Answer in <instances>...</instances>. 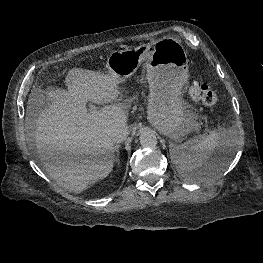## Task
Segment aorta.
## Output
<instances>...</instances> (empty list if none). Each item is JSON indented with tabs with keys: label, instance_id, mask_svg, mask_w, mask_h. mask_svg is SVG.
I'll use <instances>...</instances> for the list:
<instances>
[{
	"label": "aorta",
	"instance_id": "aorta-1",
	"mask_svg": "<svg viewBox=\"0 0 263 263\" xmlns=\"http://www.w3.org/2000/svg\"><path fill=\"white\" fill-rule=\"evenodd\" d=\"M140 144L145 148H153L157 145V137L151 131H144L140 135Z\"/></svg>",
	"mask_w": 263,
	"mask_h": 263
}]
</instances>
